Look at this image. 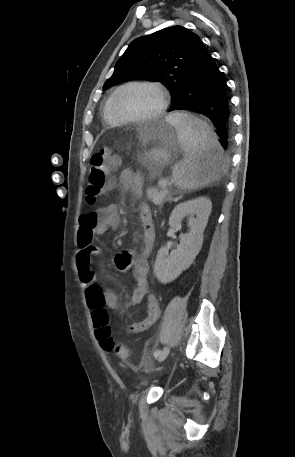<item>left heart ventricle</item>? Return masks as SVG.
Returning a JSON list of instances; mask_svg holds the SVG:
<instances>
[{
	"instance_id": "1",
	"label": "left heart ventricle",
	"mask_w": 295,
	"mask_h": 457,
	"mask_svg": "<svg viewBox=\"0 0 295 457\" xmlns=\"http://www.w3.org/2000/svg\"><path fill=\"white\" fill-rule=\"evenodd\" d=\"M160 105L158 91L150 86H132L117 96L116 109L126 117H144L155 112Z\"/></svg>"
}]
</instances>
